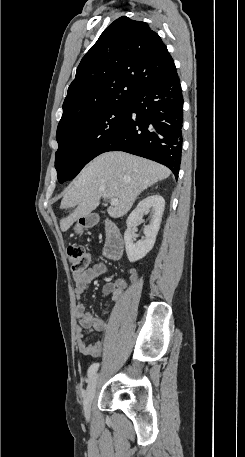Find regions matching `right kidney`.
Listing matches in <instances>:
<instances>
[{
    "label": "right kidney",
    "mask_w": 245,
    "mask_h": 457,
    "mask_svg": "<svg viewBox=\"0 0 245 457\" xmlns=\"http://www.w3.org/2000/svg\"><path fill=\"white\" fill-rule=\"evenodd\" d=\"M165 208V200L160 194H151L138 202L136 208L129 214L126 224L127 229L124 233L125 249L128 261L135 263L139 259H143L151 249H153L156 241V235L160 229V222ZM150 212V224H146L144 229L145 239L143 241H132L133 226H137V222L143 220L144 214Z\"/></svg>",
    "instance_id": "ca27d5eb"
}]
</instances>
